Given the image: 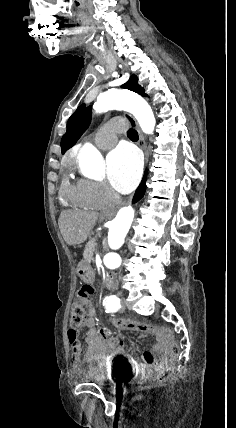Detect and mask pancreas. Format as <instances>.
<instances>
[{
  "instance_id": "pancreas-1",
  "label": "pancreas",
  "mask_w": 236,
  "mask_h": 428,
  "mask_svg": "<svg viewBox=\"0 0 236 428\" xmlns=\"http://www.w3.org/2000/svg\"><path fill=\"white\" fill-rule=\"evenodd\" d=\"M96 246H97V242L95 240V238H92V240H90V242H88L85 250H84V254H83V258L85 260V262H94V252L96 250Z\"/></svg>"
}]
</instances>
